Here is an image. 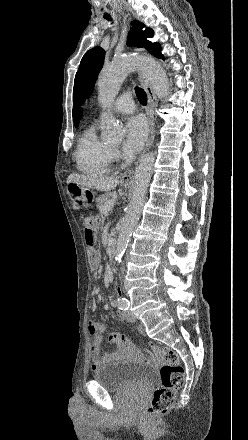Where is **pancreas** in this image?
<instances>
[{
    "mask_svg": "<svg viewBox=\"0 0 248 440\" xmlns=\"http://www.w3.org/2000/svg\"><path fill=\"white\" fill-rule=\"evenodd\" d=\"M112 201V195L109 193L103 194L97 198V207L101 213H105L104 207Z\"/></svg>",
    "mask_w": 248,
    "mask_h": 440,
    "instance_id": "obj_1",
    "label": "pancreas"
}]
</instances>
